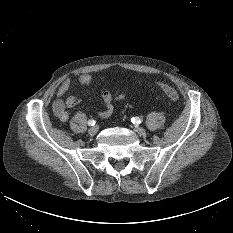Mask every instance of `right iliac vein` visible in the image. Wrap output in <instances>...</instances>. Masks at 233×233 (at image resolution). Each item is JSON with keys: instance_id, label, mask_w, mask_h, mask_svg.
<instances>
[{"instance_id": "right-iliac-vein-1", "label": "right iliac vein", "mask_w": 233, "mask_h": 233, "mask_svg": "<svg viewBox=\"0 0 233 233\" xmlns=\"http://www.w3.org/2000/svg\"><path fill=\"white\" fill-rule=\"evenodd\" d=\"M98 126H93V127H90L89 130H88V133L93 136L95 135L97 132H98Z\"/></svg>"}]
</instances>
